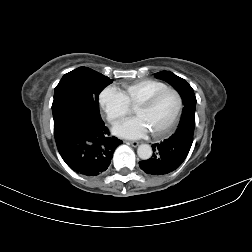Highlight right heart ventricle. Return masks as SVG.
<instances>
[{"instance_id":"e07e8e85","label":"right heart ventricle","mask_w":252,"mask_h":252,"mask_svg":"<svg viewBox=\"0 0 252 252\" xmlns=\"http://www.w3.org/2000/svg\"><path fill=\"white\" fill-rule=\"evenodd\" d=\"M168 87L165 83L153 79L136 81L122 87L121 92L130 105H137L139 102L154 92Z\"/></svg>"}]
</instances>
